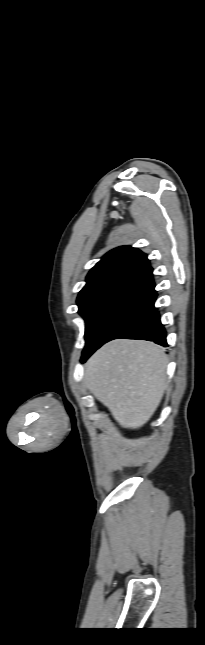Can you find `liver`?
Wrapping results in <instances>:
<instances>
[{"label": "liver", "mask_w": 205, "mask_h": 645, "mask_svg": "<svg viewBox=\"0 0 205 645\" xmlns=\"http://www.w3.org/2000/svg\"><path fill=\"white\" fill-rule=\"evenodd\" d=\"M167 363L164 350L152 342L117 339L89 358L84 380L120 426L137 429L149 421L162 400Z\"/></svg>", "instance_id": "1"}]
</instances>
